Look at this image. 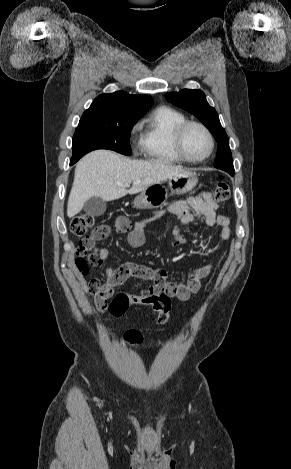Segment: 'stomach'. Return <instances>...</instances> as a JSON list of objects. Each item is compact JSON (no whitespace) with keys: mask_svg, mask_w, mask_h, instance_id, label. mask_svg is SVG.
<instances>
[{"mask_svg":"<svg viewBox=\"0 0 291 469\" xmlns=\"http://www.w3.org/2000/svg\"><path fill=\"white\" fill-rule=\"evenodd\" d=\"M196 173L183 171L168 179V187L162 183L150 185L143 190L135 199L134 207L138 209H154L162 206L169 195H182L191 191L197 184ZM170 190V193H169Z\"/></svg>","mask_w":291,"mask_h":469,"instance_id":"obj_1","label":"stomach"}]
</instances>
